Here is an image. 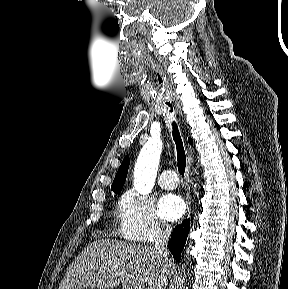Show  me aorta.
<instances>
[{
    "instance_id": "obj_1",
    "label": "aorta",
    "mask_w": 288,
    "mask_h": 289,
    "mask_svg": "<svg viewBox=\"0 0 288 289\" xmlns=\"http://www.w3.org/2000/svg\"><path fill=\"white\" fill-rule=\"evenodd\" d=\"M161 151L162 142L159 138L149 139L141 149L134 169V188L140 194H149L154 186ZM179 282L182 289L184 278H180Z\"/></svg>"
}]
</instances>
